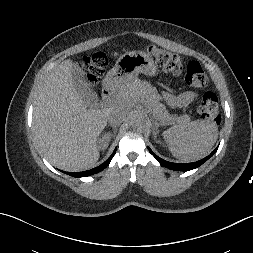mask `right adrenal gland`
Masks as SVG:
<instances>
[{
	"label": "right adrenal gland",
	"instance_id": "obj_1",
	"mask_svg": "<svg viewBox=\"0 0 253 253\" xmlns=\"http://www.w3.org/2000/svg\"><path fill=\"white\" fill-rule=\"evenodd\" d=\"M113 133L115 134L116 133V131H117V126H113ZM109 134V133H108Z\"/></svg>",
	"mask_w": 253,
	"mask_h": 253
}]
</instances>
